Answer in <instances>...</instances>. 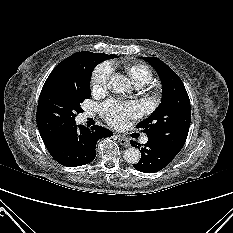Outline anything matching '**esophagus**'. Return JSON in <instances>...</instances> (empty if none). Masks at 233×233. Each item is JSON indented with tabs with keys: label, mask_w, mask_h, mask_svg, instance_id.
<instances>
[{
	"label": "esophagus",
	"mask_w": 233,
	"mask_h": 233,
	"mask_svg": "<svg viewBox=\"0 0 233 233\" xmlns=\"http://www.w3.org/2000/svg\"><path fill=\"white\" fill-rule=\"evenodd\" d=\"M118 140H119V143L124 146V147H129L130 146V142H129V139L124 137V136H118Z\"/></svg>",
	"instance_id": "esophagus-1"
}]
</instances>
